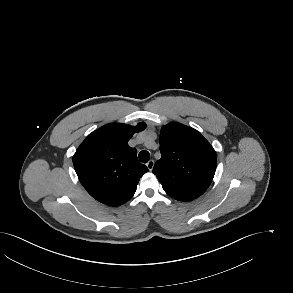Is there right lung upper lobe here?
<instances>
[{"instance_id":"1","label":"right lung upper lobe","mask_w":293,"mask_h":293,"mask_svg":"<svg viewBox=\"0 0 293 293\" xmlns=\"http://www.w3.org/2000/svg\"><path fill=\"white\" fill-rule=\"evenodd\" d=\"M111 123L92 132L73 156L77 176L87 192L97 201L120 206L134 195L139 179L148 171L137 159V150L128 145L134 133L145 129Z\"/></svg>"}]
</instances>
